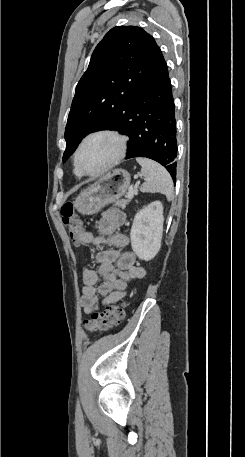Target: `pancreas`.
Returning a JSON list of instances; mask_svg holds the SVG:
<instances>
[{
  "mask_svg": "<svg viewBox=\"0 0 245 457\" xmlns=\"http://www.w3.org/2000/svg\"><path fill=\"white\" fill-rule=\"evenodd\" d=\"M129 200L126 198H121V200H115V206H121V208H126V204H128Z\"/></svg>",
  "mask_w": 245,
  "mask_h": 457,
  "instance_id": "cf45deb5",
  "label": "pancreas"
}]
</instances>
